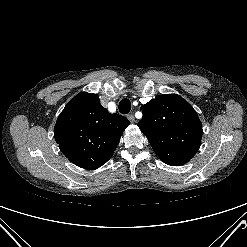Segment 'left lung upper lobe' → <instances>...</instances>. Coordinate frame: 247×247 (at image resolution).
<instances>
[{"label":"left lung upper lobe","mask_w":247,"mask_h":247,"mask_svg":"<svg viewBox=\"0 0 247 247\" xmlns=\"http://www.w3.org/2000/svg\"><path fill=\"white\" fill-rule=\"evenodd\" d=\"M138 123L157 156L166 164L187 163L201 144L202 123L193 107L177 94H163L142 107Z\"/></svg>","instance_id":"5c2ea615"}]
</instances>
